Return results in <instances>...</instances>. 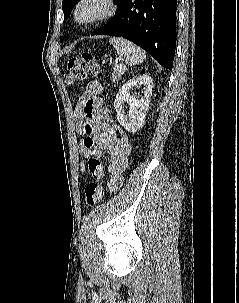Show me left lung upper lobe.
<instances>
[{
	"instance_id": "left-lung-upper-lobe-1",
	"label": "left lung upper lobe",
	"mask_w": 239,
	"mask_h": 303,
	"mask_svg": "<svg viewBox=\"0 0 239 303\" xmlns=\"http://www.w3.org/2000/svg\"><path fill=\"white\" fill-rule=\"evenodd\" d=\"M80 0H63L62 3V9L64 12L65 19H68L73 7L75 4H77ZM117 3V8L120 6V4L123 2V0H115Z\"/></svg>"
}]
</instances>
